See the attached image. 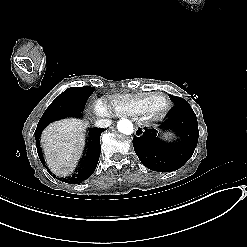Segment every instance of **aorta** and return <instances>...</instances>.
Listing matches in <instances>:
<instances>
[{
    "label": "aorta",
    "instance_id": "762f6f07",
    "mask_svg": "<svg viewBox=\"0 0 247 247\" xmlns=\"http://www.w3.org/2000/svg\"><path fill=\"white\" fill-rule=\"evenodd\" d=\"M117 129L119 132L125 135H131L134 131L132 122L127 119L119 120L117 123Z\"/></svg>",
    "mask_w": 247,
    "mask_h": 247
}]
</instances>
